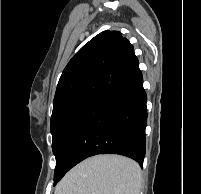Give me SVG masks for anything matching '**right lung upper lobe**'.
Listing matches in <instances>:
<instances>
[{
  "mask_svg": "<svg viewBox=\"0 0 201 194\" xmlns=\"http://www.w3.org/2000/svg\"><path fill=\"white\" fill-rule=\"evenodd\" d=\"M133 46L118 31H104L86 43L65 67L53 107L73 98L98 96L138 68Z\"/></svg>",
  "mask_w": 201,
  "mask_h": 194,
  "instance_id": "right-lung-upper-lobe-1",
  "label": "right lung upper lobe"
}]
</instances>
